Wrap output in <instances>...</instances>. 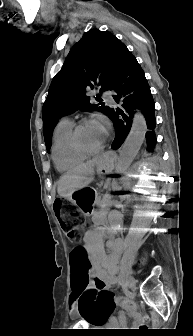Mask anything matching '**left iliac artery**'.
Instances as JSON below:
<instances>
[{"instance_id":"left-iliac-artery-1","label":"left iliac artery","mask_w":193,"mask_h":336,"mask_svg":"<svg viewBox=\"0 0 193 336\" xmlns=\"http://www.w3.org/2000/svg\"><path fill=\"white\" fill-rule=\"evenodd\" d=\"M124 280H125L124 275L120 274L119 279H118L119 284H122L124 282Z\"/></svg>"}]
</instances>
